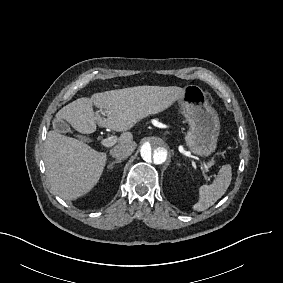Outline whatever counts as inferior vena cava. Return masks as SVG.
Instances as JSON below:
<instances>
[{
    "label": "inferior vena cava",
    "mask_w": 283,
    "mask_h": 283,
    "mask_svg": "<svg viewBox=\"0 0 283 283\" xmlns=\"http://www.w3.org/2000/svg\"><path fill=\"white\" fill-rule=\"evenodd\" d=\"M133 150L134 147L132 145L126 143H120L114 146V148L110 150V154L113 157H115L117 160H122L130 156Z\"/></svg>",
    "instance_id": "inferior-vena-cava-1"
}]
</instances>
